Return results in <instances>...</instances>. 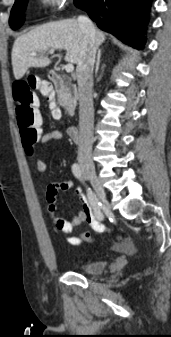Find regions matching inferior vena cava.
I'll return each instance as SVG.
<instances>
[{
  "label": "inferior vena cava",
  "mask_w": 171,
  "mask_h": 337,
  "mask_svg": "<svg viewBox=\"0 0 171 337\" xmlns=\"http://www.w3.org/2000/svg\"><path fill=\"white\" fill-rule=\"evenodd\" d=\"M78 24L84 34L80 60L77 64L76 75L79 91V163L92 164V144L94 107L92 99L93 67L96 55V30L92 21L86 16L78 17Z\"/></svg>",
  "instance_id": "obj_1"
}]
</instances>
